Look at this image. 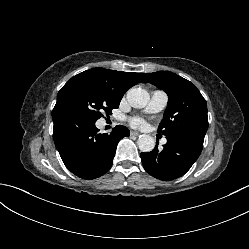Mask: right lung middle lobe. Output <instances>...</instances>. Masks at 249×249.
<instances>
[{
	"label": "right lung middle lobe",
	"mask_w": 249,
	"mask_h": 249,
	"mask_svg": "<svg viewBox=\"0 0 249 249\" xmlns=\"http://www.w3.org/2000/svg\"><path fill=\"white\" fill-rule=\"evenodd\" d=\"M122 98L112 94L92 77L78 74L59 91L54 109H63L96 122L103 111L111 114Z\"/></svg>",
	"instance_id": "dd1d6c3e"
}]
</instances>
